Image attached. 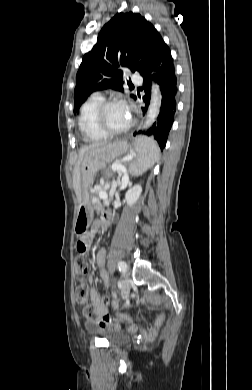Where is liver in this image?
Masks as SVG:
<instances>
[{"label": "liver", "instance_id": "obj_1", "mask_svg": "<svg viewBox=\"0 0 252 390\" xmlns=\"http://www.w3.org/2000/svg\"><path fill=\"white\" fill-rule=\"evenodd\" d=\"M109 144L105 143V142H99V143H94V144H91L89 146H85L84 148H82L80 150V154H79V159H78V162L76 164V167H75V170H74V177H73V185H74V189H75V192H76V195L80 198L81 196V173H80V164L85 156V154L90 151V150H93V149H97V148H101V147H105V146H108Z\"/></svg>", "mask_w": 252, "mask_h": 390}]
</instances>
